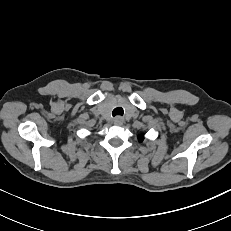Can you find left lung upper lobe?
<instances>
[{
  "mask_svg": "<svg viewBox=\"0 0 231 231\" xmlns=\"http://www.w3.org/2000/svg\"><path fill=\"white\" fill-rule=\"evenodd\" d=\"M138 139H139V141L141 142V141H143V135H140L139 137H138Z\"/></svg>",
  "mask_w": 231,
  "mask_h": 231,
  "instance_id": "left-lung-upper-lobe-1",
  "label": "left lung upper lobe"
}]
</instances>
